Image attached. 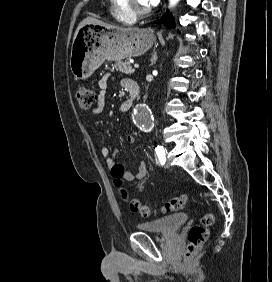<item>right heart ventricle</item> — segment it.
<instances>
[{
  "label": "right heart ventricle",
  "instance_id": "right-heart-ventricle-1",
  "mask_svg": "<svg viewBox=\"0 0 272 282\" xmlns=\"http://www.w3.org/2000/svg\"><path fill=\"white\" fill-rule=\"evenodd\" d=\"M113 16L123 24H132L136 17L125 8L124 0H111Z\"/></svg>",
  "mask_w": 272,
  "mask_h": 282
}]
</instances>
